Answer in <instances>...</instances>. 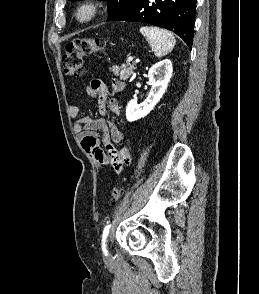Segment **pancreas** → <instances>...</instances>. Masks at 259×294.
Masks as SVG:
<instances>
[{
	"label": "pancreas",
	"mask_w": 259,
	"mask_h": 294,
	"mask_svg": "<svg viewBox=\"0 0 259 294\" xmlns=\"http://www.w3.org/2000/svg\"><path fill=\"white\" fill-rule=\"evenodd\" d=\"M135 69V63L130 64L129 62L121 66L115 65L112 68H110L113 74L115 76H119L121 80H127L134 73Z\"/></svg>",
	"instance_id": "pancreas-1"
}]
</instances>
